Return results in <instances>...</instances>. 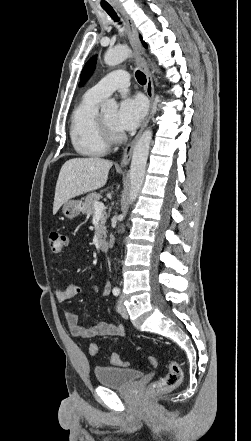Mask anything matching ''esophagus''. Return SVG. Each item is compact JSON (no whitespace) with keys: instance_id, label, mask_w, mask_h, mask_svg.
<instances>
[{"instance_id":"esophagus-1","label":"esophagus","mask_w":251,"mask_h":441,"mask_svg":"<svg viewBox=\"0 0 251 441\" xmlns=\"http://www.w3.org/2000/svg\"><path fill=\"white\" fill-rule=\"evenodd\" d=\"M121 14L124 17L126 26H127V30H128V35H129V39H130V43L136 53V55L139 58L140 61V65L146 75V79H147V83H146V94L147 97L149 99L150 102V107H149V111L145 117V120L141 126L140 131L138 132V134L135 136V138L126 146V148L124 149L123 152V157L121 159L120 162V166L121 167H125L126 165L129 164L131 157H132V152L134 149V146L136 145L141 133L143 132V130L145 129V127L147 126L151 114L153 112V107H154V81H153V77L151 72L149 71L146 63L144 62V57H143V49L141 46V43L139 41V37H138V32L137 29L132 21V19L126 14V12L123 9H120Z\"/></svg>"}]
</instances>
